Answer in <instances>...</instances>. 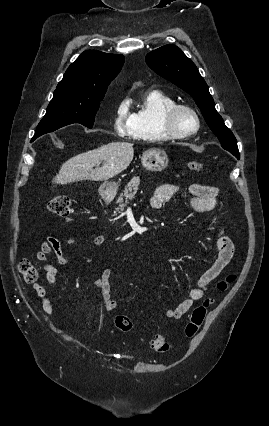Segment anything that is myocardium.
<instances>
[{"label":"myocardium","instance_id":"obj_1","mask_svg":"<svg viewBox=\"0 0 269 426\" xmlns=\"http://www.w3.org/2000/svg\"><path fill=\"white\" fill-rule=\"evenodd\" d=\"M180 112L189 113L195 120V127L192 130H182L176 124V118ZM162 129L172 139H184L195 135L201 127L198 113L186 104L175 103L166 108L162 114Z\"/></svg>","mask_w":269,"mask_h":426}]
</instances>
